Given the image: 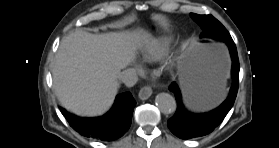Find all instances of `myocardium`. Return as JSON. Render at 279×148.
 <instances>
[{
	"instance_id": "f54148a6",
	"label": "myocardium",
	"mask_w": 279,
	"mask_h": 148,
	"mask_svg": "<svg viewBox=\"0 0 279 148\" xmlns=\"http://www.w3.org/2000/svg\"><path fill=\"white\" fill-rule=\"evenodd\" d=\"M178 57L177 56H173L171 58H169L166 63H165V68L167 70H172L174 69L176 63H177Z\"/></svg>"
}]
</instances>
